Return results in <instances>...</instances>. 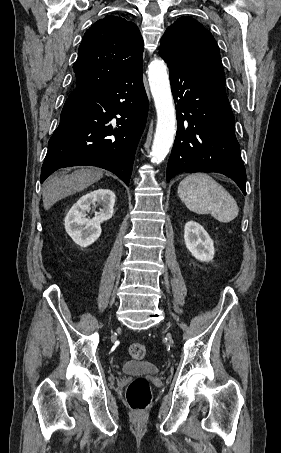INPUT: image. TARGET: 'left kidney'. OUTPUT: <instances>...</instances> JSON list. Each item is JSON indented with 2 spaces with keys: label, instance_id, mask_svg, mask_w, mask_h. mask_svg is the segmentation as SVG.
Segmentation results:
<instances>
[{
  "label": "left kidney",
  "instance_id": "left-kidney-1",
  "mask_svg": "<svg viewBox=\"0 0 281 453\" xmlns=\"http://www.w3.org/2000/svg\"><path fill=\"white\" fill-rule=\"evenodd\" d=\"M185 245L191 255L198 261H212L214 257V245L202 224L195 220H188L184 227Z\"/></svg>",
  "mask_w": 281,
  "mask_h": 453
}]
</instances>
